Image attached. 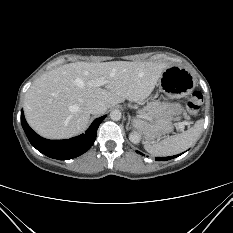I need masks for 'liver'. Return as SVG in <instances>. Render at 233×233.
Instances as JSON below:
<instances>
[{
  "label": "liver",
  "instance_id": "1",
  "mask_svg": "<svg viewBox=\"0 0 233 233\" xmlns=\"http://www.w3.org/2000/svg\"><path fill=\"white\" fill-rule=\"evenodd\" d=\"M167 67L165 63L127 61L60 66L41 75L26 92V120L45 138L76 136L89 123L88 101H101L107 108L125 99L141 102L154 90ZM98 80L105 88L95 85Z\"/></svg>",
  "mask_w": 233,
  "mask_h": 233
}]
</instances>
